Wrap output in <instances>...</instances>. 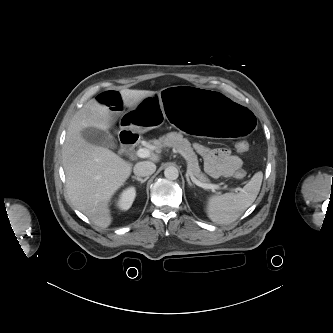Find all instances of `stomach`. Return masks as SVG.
Returning <instances> with one entry per match:
<instances>
[{
	"label": "stomach",
	"instance_id": "stomach-1",
	"mask_svg": "<svg viewBox=\"0 0 333 333\" xmlns=\"http://www.w3.org/2000/svg\"><path fill=\"white\" fill-rule=\"evenodd\" d=\"M124 128L145 133L174 122L181 130L207 140L223 137L243 141L256 124L254 111L245 103L186 85L164 87L147 94L140 105L123 116Z\"/></svg>",
	"mask_w": 333,
	"mask_h": 333
}]
</instances>
